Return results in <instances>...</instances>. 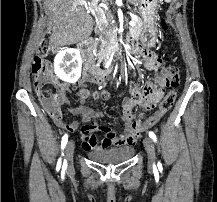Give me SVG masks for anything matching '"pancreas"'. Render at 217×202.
Segmentation results:
<instances>
[{
    "label": "pancreas",
    "instance_id": "pancreas-1",
    "mask_svg": "<svg viewBox=\"0 0 217 202\" xmlns=\"http://www.w3.org/2000/svg\"><path fill=\"white\" fill-rule=\"evenodd\" d=\"M142 22L141 20H138V22H135V26H130L129 28V34H131V38H133V40L137 41L139 38V34H141L142 32ZM115 42H117V32H115V30H113L112 34H110V42L109 44H115ZM113 50V48H112Z\"/></svg>",
    "mask_w": 217,
    "mask_h": 202
}]
</instances>
